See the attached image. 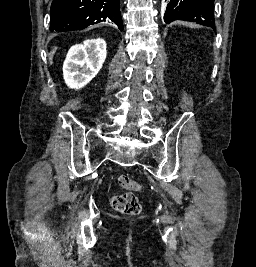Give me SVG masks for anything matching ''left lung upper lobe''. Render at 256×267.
Masks as SVG:
<instances>
[{"label": "left lung upper lobe", "instance_id": "1", "mask_svg": "<svg viewBox=\"0 0 256 267\" xmlns=\"http://www.w3.org/2000/svg\"><path fill=\"white\" fill-rule=\"evenodd\" d=\"M185 20L212 28L214 31V0H171L164 21Z\"/></svg>", "mask_w": 256, "mask_h": 267}]
</instances>
